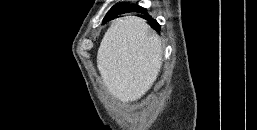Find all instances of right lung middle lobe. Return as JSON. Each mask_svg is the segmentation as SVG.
<instances>
[{
    "label": "right lung middle lobe",
    "mask_w": 257,
    "mask_h": 130,
    "mask_svg": "<svg viewBox=\"0 0 257 130\" xmlns=\"http://www.w3.org/2000/svg\"><path fill=\"white\" fill-rule=\"evenodd\" d=\"M122 6H124V5L119 4V5L115 6V7H113L108 13H111V12L117 10L118 8L122 7Z\"/></svg>",
    "instance_id": "right-lung-middle-lobe-1"
}]
</instances>
